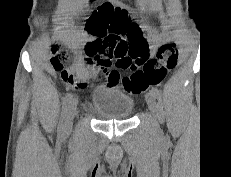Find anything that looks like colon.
Wrapping results in <instances>:
<instances>
[{"mask_svg": "<svg viewBox=\"0 0 231 177\" xmlns=\"http://www.w3.org/2000/svg\"><path fill=\"white\" fill-rule=\"evenodd\" d=\"M89 2L93 0H88ZM93 40L86 46V53L96 63L108 68L113 58L120 69H130L131 74L122 78L124 88L137 94L150 85H159L167 73L177 64L178 53L172 44H164L150 57L149 45L137 24L128 14L109 3L98 6L86 24ZM51 64L58 72H64L69 61V51L59 43L51 47ZM111 80L119 81L117 71L108 72Z\"/></svg>", "mask_w": 231, "mask_h": 177, "instance_id": "obj_1", "label": "colon"}]
</instances>
